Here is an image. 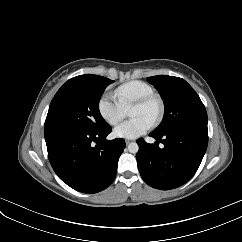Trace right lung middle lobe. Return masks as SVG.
<instances>
[{
	"label": "right lung middle lobe",
	"instance_id": "obj_1",
	"mask_svg": "<svg viewBox=\"0 0 242 242\" xmlns=\"http://www.w3.org/2000/svg\"><path fill=\"white\" fill-rule=\"evenodd\" d=\"M113 82L93 74L69 79L51 101L45 131L64 126H78L92 131L107 129L110 125L100 114L99 100L105 88Z\"/></svg>",
	"mask_w": 242,
	"mask_h": 242
}]
</instances>
